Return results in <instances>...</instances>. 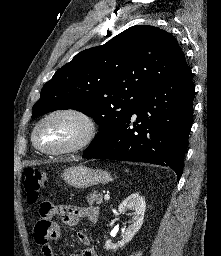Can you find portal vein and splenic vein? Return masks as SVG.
Returning a JSON list of instances; mask_svg holds the SVG:
<instances>
[{
    "instance_id": "obj_1",
    "label": "portal vein and splenic vein",
    "mask_w": 221,
    "mask_h": 256,
    "mask_svg": "<svg viewBox=\"0 0 221 256\" xmlns=\"http://www.w3.org/2000/svg\"><path fill=\"white\" fill-rule=\"evenodd\" d=\"M104 199H105L106 201L110 200V195H109V194H105V195H104Z\"/></svg>"
}]
</instances>
